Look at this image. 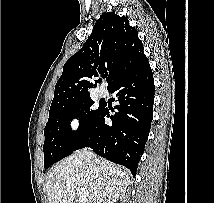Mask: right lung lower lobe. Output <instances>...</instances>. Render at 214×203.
I'll return each instance as SVG.
<instances>
[{
    "label": "right lung lower lobe",
    "mask_w": 214,
    "mask_h": 203,
    "mask_svg": "<svg viewBox=\"0 0 214 203\" xmlns=\"http://www.w3.org/2000/svg\"><path fill=\"white\" fill-rule=\"evenodd\" d=\"M108 90L116 93L117 112L110 116V109L104 104L93 128L74 151L91 147L98 155L124 165L135 176L153 115L154 79L149 63L117 80ZM105 117L112 124L105 123Z\"/></svg>",
    "instance_id": "98d812e1"
}]
</instances>
